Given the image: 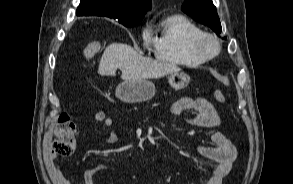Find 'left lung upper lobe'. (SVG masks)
Wrapping results in <instances>:
<instances>
[{
  "mask_svg": "<svg viewBox=\"0 0 293 184\" xmlns=\"http://www.w3.org/2000/svg\"><path fill=\"white\" fill-rule=\"evenodd\" d=\"M182 11L194 20L209 26L217 35L221 33V23L212 0H185Z\"/></svg>",
  "mask_w": 293,
  "mask_h": 184,
  "instance_id": "5c2ea615",
  "label": "left lung upper lobe"
}]
</instances>
